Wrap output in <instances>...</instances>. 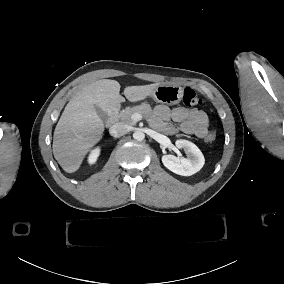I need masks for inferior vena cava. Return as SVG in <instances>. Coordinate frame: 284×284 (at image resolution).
Masks as SVG:
<instances>
[{
  "mask_svg": "<svg viewBox=\"0 0 284 284\" xmlns=\"http://www.w3.org/2000/svg\"><path fill=\"white\" fill-rule=\"evenodd\" d=\"M129 131V126L123 122H117L109 128L110 135L120 137Z\"/></svg>",
  "mask_w": 284,
  "mask_h": 284,
  "instance_id": "602c4592",
  "label": "inferior vena cava"
}]
</instances>
